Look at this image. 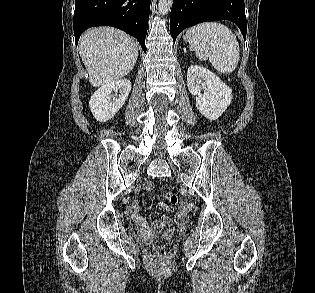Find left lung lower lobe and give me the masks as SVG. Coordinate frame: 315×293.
<instances>
[{
  "label": "left lung lower lobe",
  "instance_id": "left-lung-lower-lobe-1",
  "mask_svg": "<svg viewBox=\"0 0 315 293\" xmlns=\"http://www.w3.org/2000/svg\"><path fill=\"white\" fill-rule=\"evenodd\" d=\"M230 20L246 38L244 0H174L170 14V32L175 42L187 27L206 21Z\"/></svg>",
  "mask_w": 315,
  "mask_h": 293
}]
</instances>
